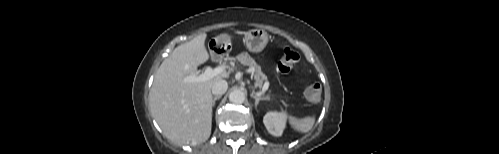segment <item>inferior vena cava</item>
<instances>
[{"instance_id": "inferior-vena-cava-1", "label": "inferior vena cava", "mask_w": 499, "mask_h": 154, "mask_svg": "<svg viewBox=\"0 0 499 154\" xmlns=\"http://www.w3.org/2000/svg\"><path fill=\"white\" fill-rule=\"evenodd\" d=\"M227 88H228V84L225 80L221 79V80H217L213 86H212V93L216 96H221L223 95L226 91H227Z\"/></svg>"}]
</instances>
